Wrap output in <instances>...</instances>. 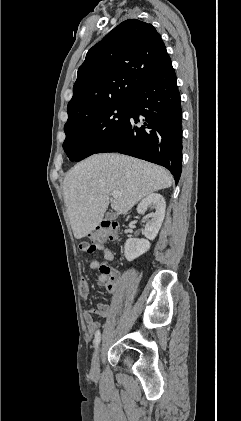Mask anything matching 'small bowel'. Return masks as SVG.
I'll return each mask as SVG.
<instances>
[{
    "instance_id": "c3829d8e",
    "label": "small bowel",
    "mask_w": 241,
    "mask_h": 421,
    "mask_svg": "<svg viewBox=\"0 0 241 421\" xmlns=\"http://www.w3.org/2000/svg\"><path fill=\"white\" fill-rule=\"evenodd\" d=\"M97 251H101L103 253L104 259L106 262H110L113 260L114 255L112 251L103 246L99 245L97 247ZM100 263L96 260L90 262V269L94 271H99L98 274V283L99 285L105 287L108 292L114 293L119 285L120 275L119 273L112 269L110 275H106L100 270ZM79 293L80 296L85 300L89 294V284L87 280L83 279L79 285ZM111 307L108 304L100 303L97 305L95 309H89L84 311L83 317L89 333H94L99 330L101 323L94 319V315H98L101 318H106L110 313Z\"/></svg>"
}]
</instances>
